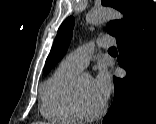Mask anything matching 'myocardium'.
I'll return each mask as SVG.
<instances>
[{"mask_svg":"<svg viewBox=\"0 0 156 124\" xmlns=\"http://www.w3.org/2000/svg\"><path fill=\"white\" fill-rule=\"evenodd\" d=\"M80 79L81 77L76 78L71 88L70 98H71L72 107L80 119L83 120L97 119L105 112L107 108V103L104 102V104L94 112L87 111L84 108L81 100Z\"/></svg>","mask_w":156,"mask_h":124,"instance_id":"f54148a6","label":"myocardium"}]
</instances>
